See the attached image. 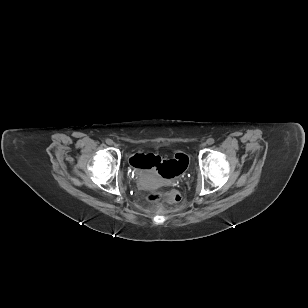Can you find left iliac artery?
Wrapping results in <instances>:
<instances>
[{"label": "left iliac artery", "instance_id": "1", "mask_svg": "<svg viewBox=\"0 0 308 308\" xmlns=\"http://www.w3.org/2000/svg\"><path fill=\"white\" fill-rule=\"evenodd\" d=\"M207 143H208L209 145L214 144V139H213V138H209V139L207 140Z\"/></svg>", "mask_w": 308, "mask_h": 308}]
</instances>
